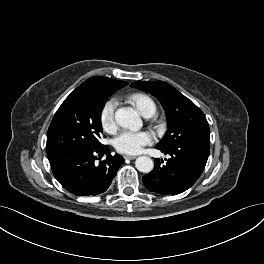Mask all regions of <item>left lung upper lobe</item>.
Instances as JSON below:
<instances>
[{
	"label": "left lung upper lobe",
	"instance_id": "obj_1",
	"mask_svg": "<svg viewBox=\"0 0 264 264\" xmlns=\"http://www.w3.org/2000/svg\"><path fill=\"white\" fill-rule=\"evenodd\" d=\"M130 86L152 94L164 107L169 130L157 148L168 149L182 142L210 143L205 115L173 86L163 81H136Z\"/></svg>",
	"mask_w": 264,
	"mask_h": 264
}]
</instances>
